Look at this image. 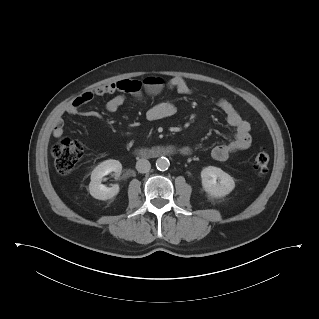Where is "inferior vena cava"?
Listing matches in <instances>:
<instances>
[{"instance_id": "1", "label": "inferior vena cava", "mask_w": 319, "mask_h": 319, "mask_svg": "<svg viewBox=\"0 0 319 319\" xmlns=\"http://www.w3.org/2000/svg\"><path fill=\"white\" fill-rule=\"evenodd\" d=\"M150 168L151 164L147 159L142 158L136 162V169L140 173H147L149 172Z\"/></svg>"}]
</instances>
